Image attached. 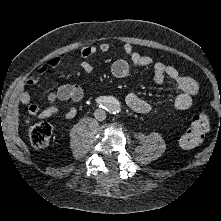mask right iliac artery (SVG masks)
<instances>
[{
  "label": "right iliac artery",
  "mask_w": 221,
  "mask_h": 221,
  "mask_svg": "<svg viewBox=\"0 0 221 221\" xmlns=\"http://www.w3.org/2000/svg\"><path fill=\"white\" fill-rule=\"evenodd\" d=\"M96 102L99 105V107L105 108L108 106L109 98L100 96L96 99Z\"/></svg>",
  "instance_id": "1"
}]
</instances>
